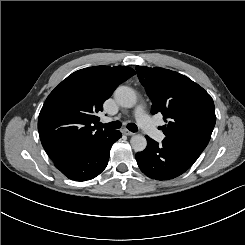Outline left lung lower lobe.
<instances>
[{
    "label": "left lung lower lobe",
    "mask_w": 245,
    "mask_h": 245,
    "mask_svg": "<svg viewBox=\"0 0 245 245\" xmlns=\"http://www.w3.org/2000/svg\"><path fill=\"white\" fill-rule=\"evenodd\" d=\"M147 147L135 155L141 171L151 179L170 180L186 172L200 156L185 145L164 139L162 145L146 136Z\"/></svg>",
    "instance_id": "1"
}]
</instances>
